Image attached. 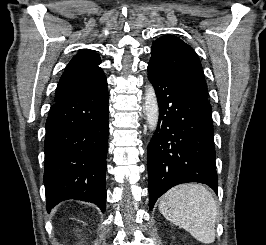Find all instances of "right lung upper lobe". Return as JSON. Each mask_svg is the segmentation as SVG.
<instances>
[{
  "label": "right lung upper lobe",
  "mask_w": 266,
  "mask_h": 245,
  "mask_svg": "<svg viewBox=\"0 0 266 245\" xmlns=\"http://www.w3.org/2000/svg\"><path fill=\"white\" fill-rule=\"evenodd\" d=\"M99 54L88 49H82L69 62L61 76L54 101H60L80 87L97 84L106 80L98 64Z\"/></svg>",
  "instance_id": "obj_1"
}]
</instances>
